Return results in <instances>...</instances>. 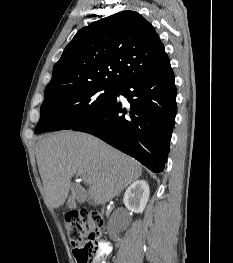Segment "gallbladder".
I'll return each mask as SVG.
<instances>
[{"instance_id":"gallbladder-1","label":"gallbladder","mask_w":233,"mask_h":263,"mask_svg":"<svg viewBox=\"0 0 233 263\" xmlns=\"http://www.w3.org/2000/svg\"><path fill=\"white\" fill-rule=\"evenodd\" d=\"M73 192H78V188L77 187H73ZM82 200V199H81ZM67 206L70 210H73L76 208L77 204H76V201H75V198L74 196L70 197L69 200H68V203H67Z\"/></svg>"}]
</instances>
